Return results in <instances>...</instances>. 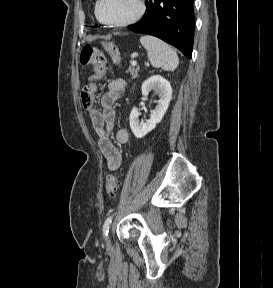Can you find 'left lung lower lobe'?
<instances>
[{
    "label": "left lung lower lobe",
    "instance_id": "left-lung-lower-lobe-1",
    "mask_svg": "<svg viewBox=\"0 0 273 288\" xmlns=\"http://www.w3.org/2000/svg\"><path fill=\"white\" fill-rule=\"evenodd\" d=\"M147 12L129 30L156 36L192 56L194 40L193 0H146Z\"/></svg>",
    "mask_w": 273,
    "mask_h": 288
}]
</instances>
